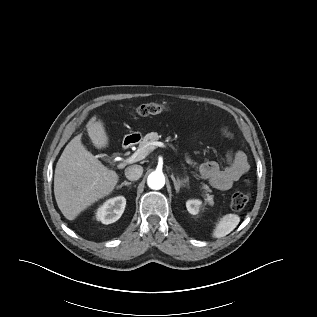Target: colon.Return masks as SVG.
Listing matches in <instances>:
<instances>
[{
    "label": "colon",
    "instance_id": "colon-1",
    "mask_svg": "<svg viewBox=\"0 0 317 317\" xmlns=\"http://www.w3.org/2000/svg\"><path fill=\"white\" fill-rule=\"evenodd\" d=\"M166 109L165 105L162 103L151 102L138 106L136 108V113L139 116H153L164 112ZM225 136H229L227 130H223ZM250 200V193L245 190L236 189L231 197V208L236 211L242 210Z\"/></svg>",
    "mask_w": 317,
    "mask_h": 317
}]
</instances>
